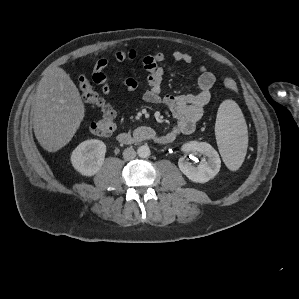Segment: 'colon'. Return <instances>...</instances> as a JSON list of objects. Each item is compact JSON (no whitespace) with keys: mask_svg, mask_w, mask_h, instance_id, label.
<instances>
[{"mask_svg":"<svg viewBox=\"0 0 299 299\" xmlns=\"http://www.w3.org/2000/svg\"><path fill=\"white\" fill-rule=\"evenodd\" d=\"M225 88L233 93L238 92V86L231 77H225L223 80ZM79 89L82 99L98 110L99 118L95 120L90 130L94 135L106 137L111 135L116 127L115 110L93 89L89 79L86 76H80Z\"/></svg>","mask_w":299,"mask_h":299,"instance_id":"1","label":"colon"}]
</instances>
